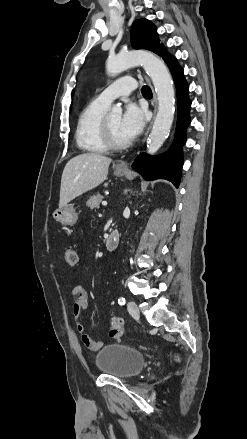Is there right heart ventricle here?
Masks as SVG:
<instances>
[{
	"label": "right heart ventricle",
	"instance_id": "obj_1",
	"mask_svg": "<svg viewBox=\"0 0 247 439\" xmlns=\"http://www.w3.org/2000/svg\"><path fill=\"white\" fill-rule=\"evenodd\" d=\"M108 105L97 99L90 101L79 115L75 141L86 152L104 153L108 150L102 140L101 126Z\"/></svg>",
	"mask_w": 247,
	"mask_h": 439
}]
</instances>
